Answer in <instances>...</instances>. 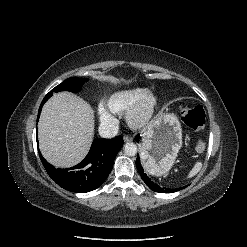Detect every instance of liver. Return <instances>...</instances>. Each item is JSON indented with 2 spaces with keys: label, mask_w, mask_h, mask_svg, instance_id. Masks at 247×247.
Masks as SVG:
<instances>
[{
  "label": "liver",
  "mask_w": 247,
  "mask_h": 247,
  "mask_svg": "<svg viewBox=\"0 0 247 247\" xmlns=\"http://www.w3.org/2000/svg\"><path fill=\"white\" fill-rule=\"evenodd\" d=\"M38 136L40 151L50 164L72 167L86 156L92 143L93 110L71 93H56L42 109Z\"/></svg>",
  "instance_id": "6515ba94"
}]
</instances>
